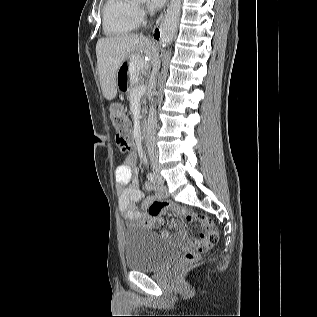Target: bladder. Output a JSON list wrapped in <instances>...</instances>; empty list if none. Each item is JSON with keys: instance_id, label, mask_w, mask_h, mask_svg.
I'll return each mask as SVG.
<instances>
[{"instance_id": "obj_1", "label": "bladder", "mask_w": 317, "mask_h": 317, "mask_svg": "<svg viewBox=\"0 0 317 317\" xmlns=\"http://www.w3.org/2000/svg\"><path fill=\"white\" fill-rule=\"evenodd\" d=\"M179 252L178 244L149 232L145 226H130L124 232L125 265L129 270L160 269Z\"/></svg>"}]
</instances>
